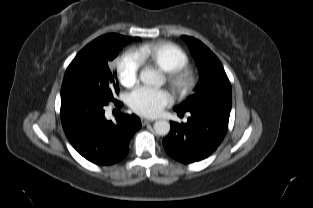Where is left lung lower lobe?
I'll return each mask as SVG.
<instances>
[{
    "label": "left lung lower lobe",
    "mask_w": 313,
    "mask_h": 208,
    "mask_svg": "<svg viewBox=\"0 0 313 208\" xmlns=\"http://www.w3.org/2000/svg\"><path fill=\"white\" fill-rule=\"evenodd\" d=\"M188 112L191 116L187 123L170 122L171 131L163 139L168 155L182 163H193L211 155L226 135L230 116V110L215 107Z\"/></svg>",
    "instance_id": "1"
}]
</instances>
